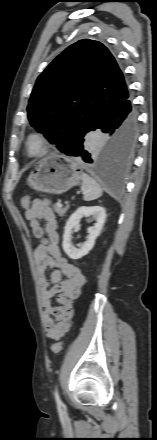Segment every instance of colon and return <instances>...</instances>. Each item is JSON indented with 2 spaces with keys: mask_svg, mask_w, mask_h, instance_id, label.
Instances as JSON below:
<instances>
[{
  "mask_svg": "<svg viewBox=\"0 0 157 440\" xmlns=\"http://www.w3.org/2000/svg\"><path fill=\"white\" fill-rule=\"evenodd\" d=\"M21 206L28 210L30 208V197L29 196H24L21 199ZM63 348V343L62 342H56L51 346V351L54 354H58Z\"/></svg>",
  "mask_w": 157,
  "mask_h": 440,
  "instance_id": "obj_1",
  "label": "colon"
}]
</instances>
